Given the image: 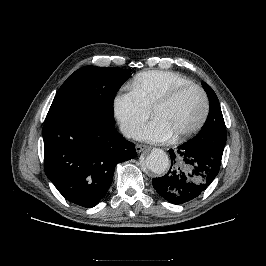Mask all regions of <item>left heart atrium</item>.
<instances>
[{"label": "left heart atrium", "instance_id": "obj_1", "mask_svg": "<svg viewBox=\"0 0 266 266\" xmlns=\"http://www.w3.org/2000/svg\"><path fill=\"white\" fill-rule=\"evenodd\" d=\"M172 135L173 133L167 125L156 118L148 124L141 126L135 132L136 138L149 142H163L168 140Z\"/></svg>", "mask_w": 266, "mask_h": 266}]
</instances>
